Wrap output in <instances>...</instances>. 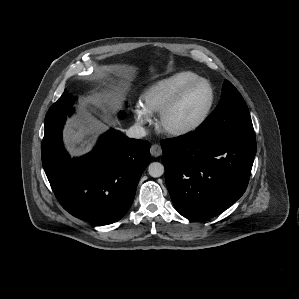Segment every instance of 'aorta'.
Here are the masks:
<instances>
[{
    "instance_id": "obj_1",
    "label": "aorta",
    "mask_w": 299,
    "mask_h": 299,
    "mask_svg": "<svg viewBox=\"0 0 299 299\" xmlns=\"http://www.w3.org/2000/svg\"><path fill=\"white\" fill-rule=\"evenodd\" d=\"M148 173L151 177L157 178L163 175L164 173V166L159 162H152L148 166Z\"/></svg>"
}]
</instances>
